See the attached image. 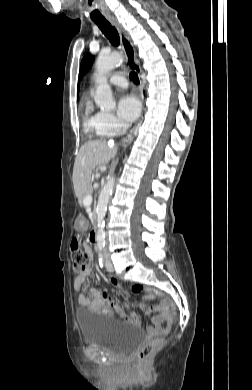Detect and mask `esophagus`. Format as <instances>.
<instances>
[{
  "label": "esophagus",
  "mask_w": 252,
  "mask_h": 390,
  "mask_svg": "<svg viewBox=\"0 0 252 390\" xmlns=\"http://www.w3.org/2000/svg\"><path fill=\"white\" fill-rule=\"evenodd\" d=\"M106 18L112 24V26H114L116 28V30L119 33L120 41H121V44H122V47H123V50H124V53L126 56V61H127L128 66L131 69H133L140 77L141 76V67L136 61V51H135L134 45L131 42L128 34L126 33V31L124 30V28L122 27L120 22L115 17L109 15ZM139 124L140 123L136 124L133 127V129H131L130 132L126 135V137H124L121 140L120 144L122 146H127L129 143H131V141L134 137V134L136 133V131L139 127Z\"/></svg>",
  "instance_id": "34e87169"
}]
</instances>
